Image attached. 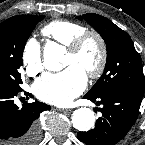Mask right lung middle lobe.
<instances>
[{
	"mask_svg": "<svg viewBox=\"0 0 145 145\" xmlns=\"http://www.w3.org/2000/svg\"><path fill=\"white\" fill-rule=\"evenodd\" d=\"M44 17L28 15L13 23L0 24V86L22 89L23 49L34 27Z\"/></svg>",
	"mask_w": 145,
	"mask_h": 145,
	"instance_id": "right-lung-middle-lobe-1",
	"label": "right lung middle lobe"
}]
</instances>
